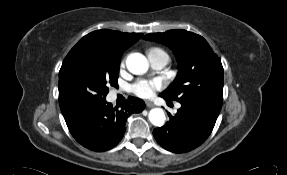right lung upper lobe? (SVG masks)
Here are the masks:
<instances>
[{
  "mask_svg": "<svg viewBox=\"0 0 287 175\" xmlns=\"http://www.w3.org/2000/svg\"><path fill=\"white\" fill-rule=\"evenodd\" d=\"M142 35L103 29L87 34L78 43H90L92 52L98 57H121Z\"/></svg>",
  "mask_w": 287,
  "mask_h": 175,
  "instance_id": "1",
  "label": "right lung upper lobe"
}]
</instances>
